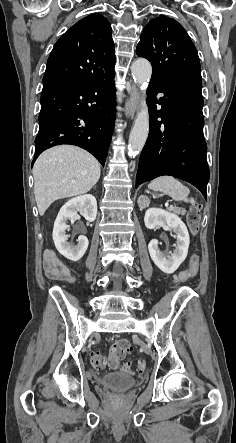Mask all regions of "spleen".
Returning <instances> with one entry per match:
<instances>
[{
	"label": "spleen",
	"mask_w": 236,
	"mask_h": 443,
	"mask_svg": "<svg viewBox=\"0 0 236 443\" xmlns=\"http://www.w3.org/2000/svg\"><path fill=\"white\" fill-rule=\"evenodd\" d=\"M148 188L155 191H161L176 201L182 200L186 203L189 202L195 204L193 198H188L190 193L189 188L172 176L158 177L149 183Z\"/></svg>",
	"instance_id": "3e777b00"
}]
</instances>
